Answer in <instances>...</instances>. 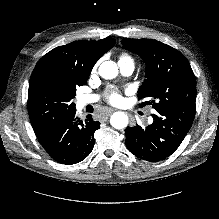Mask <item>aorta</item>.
I'll use <instances>...</instances> for the list:
<instances>
[{"instance_id":"762f6f07","label":"aorta","mask_w":219,"mask_h":219,"mask_svg":"<svg viewBox=\"0 0 219 219\" xmlns=\"http://www.w3.org/2000/svg\"><path fill=\"white\" fill-rule=\"evenodd\" d=\"M98 72L104 79H113L118 74V67L114 61H105L99 66ZM110 124L115 129H124L128 125V116L121 111L115 112L111 115Z\"/></svg>"}]
</instances>
